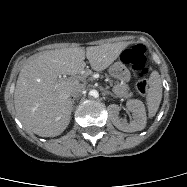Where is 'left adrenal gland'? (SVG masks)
Here are the masks:
<instances>
[{"label":"left adrenal gland","mask_w":187,"mask_h":187,"mask_svg":"<svg viewBox=\"0 0 187 187\" xmlns=\"http://www.w3.org/2000/svg\"><path fill=\"white\" fill-rule=\"evenodd\" d=\"M105 94H107V95H111V96H113V97H116L113 93L108 92V91H105Z\"/></svg>","instance_id":"left-adrenal-gland-1"}]
</instances>
